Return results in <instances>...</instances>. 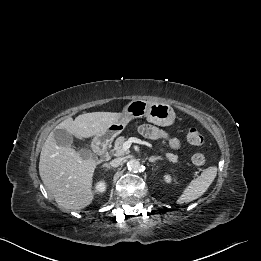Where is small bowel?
<instances>
[{
    "label": "small bowel",
    "instance_id": "1",
    "mask_svg": "<svg viewBox=\"0 0 261 261\" xmlns=\"http://www.w3.org/2000/svg\"><path fill=\"white\" fill-rule=\"evenodd\" d=\"M140 132L142 135H144L147 138L150 139H157V138H163L168 141L169 145L173 149H179L181 144L179 139L170 137L166 132L159 129L158 127L152 125V124H144L140 127Z\"/></svg>",
    "mask_w": 261,
    "mask_h": 261
}]
</instances>
